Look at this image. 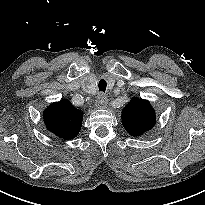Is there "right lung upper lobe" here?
Wrapping results in <instances>:
<instances>
[{"label": "right lung upper lobe", "instance_id": "1", "mask_svg": "<svg viewBox=\"0 0 205 205\" xmlns=\"http://www.w3.org/2000/svg\"><path fill=\"white\" fill-rule=\"evenodd\" d=\"M43 116L48 130L66 140L75 138L82 126L83 113L66 99L51 104Z\"/></svg>", "mask_w": 205, "mask_h": 205}]
</instances>
